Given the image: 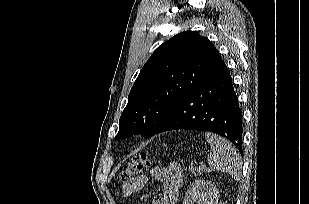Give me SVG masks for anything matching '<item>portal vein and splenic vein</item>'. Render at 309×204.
<instances>
[{
    "instance_id": "1",
    "label": "portal vein and splenic vein",
    "mask_w": 309,
    "mask_h": 204,
    "mask_svg": "<svg viewBox=\"0 0 309 204\" xmlns=\"http://www.w3.org/2000/svg\"><path fill=\"white\" fill-rule=\"evenodd\" d=\"M205 167L204 165H201V168Z\"/></svg>"
}]
</instances>
